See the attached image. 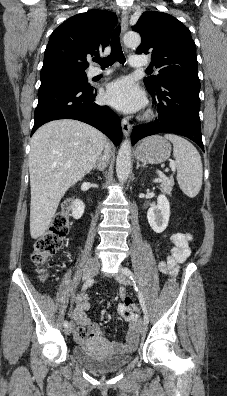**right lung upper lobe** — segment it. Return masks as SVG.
Here are the masks:
<instances>
[{
	"label": "right lung upper lobe",
	"mask_w": 227,
	"mask_h": 396,
	"mask_svg": "<svg viewBox=\"0 0 227 396\" xmlns=\"http://www.w3.org/2000/svg\"><path fill=\"white\" fill-rule=\"evenodd\" d=\"M116 23L115 13L98 9L67 19L50 36L42 70L67 68L85 71L89 66L87 59L98 55L109 45Z\"/></svg>",
	"instance_id": "1"
}]
</instances>
